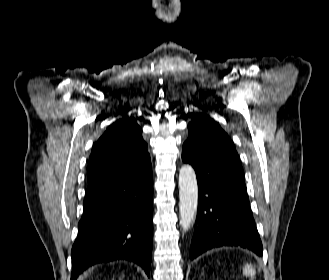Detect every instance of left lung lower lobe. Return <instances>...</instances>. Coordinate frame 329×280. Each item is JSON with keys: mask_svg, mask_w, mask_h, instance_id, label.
I'll list each match as a JSON object with an SVG mask.
<instances>
[{"mask_svg": "<svg viewBox=\"0 0 329 280\" xmlns=\"http://www.w3.org/2000/svg\"><path fill=\"white\" fill-rule=\"evenodd\" d=\"M225 182L226 186H206L198 180V212L191 259L218 247H242L263 255L243 175L229 170Z\"/></svg>", "mask_w": 329, "mask_h": 280, "instance_id": "0a47b994", "label": "left lung lower lobe"}]
</instances>
